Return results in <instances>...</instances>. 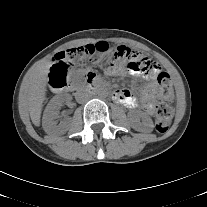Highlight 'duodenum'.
I'll list each match as a JSON object with an SVG mask.
<instances>
[{"label": "duodenum", "mask_w": 207, "mask_h": 207, "mask_svg": "<svg viewBox=\"0 0 207 207\" xmlns=\"http://www.w3.org/2000/svg\"><path fill=\"white\" fill-rule=\"evenodd\" d=\"M87 82L89 84V89L91 91H97L102 88V85L99 82H97L96 79L92 75H89L87 77Z\"/></svg>", "instance_id": "1"}]
</instances>
